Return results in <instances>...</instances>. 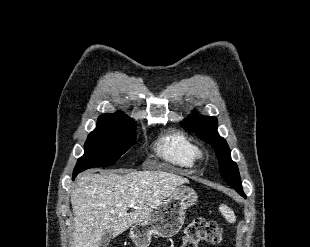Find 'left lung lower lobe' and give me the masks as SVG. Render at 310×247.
I'll return each mask as SVG.
<instances>
[{
    "instance_id": "left-lung-lower-lobe-1",
    "label": "left lung lower lobe",
    "mask_w": 310,
    "mask_h": 247,
    "mask_svg": "<svg viewBox=\"0 0 310 247\" xmlns=\"http://www.w3.org/2000/svg\"><path fill=\"white\" fill-rule=\"evenodd\" d=\"M235 189L242 197L246 198V195L243 192L242 186L241 187H236Z\"/></svg>"
}]
</instances>
